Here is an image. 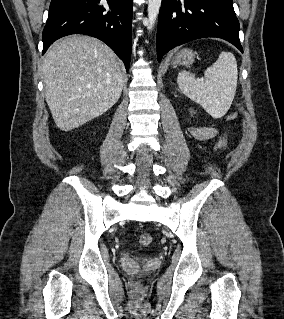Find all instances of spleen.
Segmentation results:
<instances>
[{
    "label": "spleen",
    "mask_w": 284,
    "mask_h": 319,
    "mask_svg": "<svg viewBox=\"0 0 284 319\" xmlns=\"http://www.w3.org/2000/svg\"><path fill=\"white\" fill-rule=\"evenodd\" d=\"M238 79L235 56L221 52L214 64L204 71V79L194 74L179 72L177 83L181 91L192 101L200 104L213 118H221L229 110L234 99Z\"/></svg>",
    "instance_id": "spleen-1"
}]
</instances>
